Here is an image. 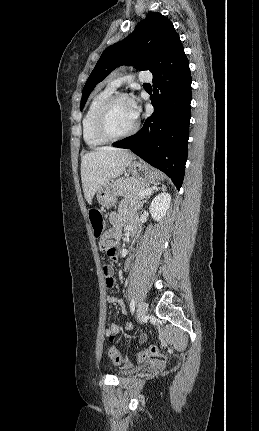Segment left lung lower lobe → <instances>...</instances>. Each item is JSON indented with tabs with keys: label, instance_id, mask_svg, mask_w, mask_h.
<instances>
[{
	"label": "left lung lower lobe",
	"instance_id": "1",
	"mask_svg": "<svg viewBox=\"0 0 259 431\" xmlns=\"http://www.w3.org/2000/svg\"><path fill=\"white\" fill-rule=\"evenodd\" d=\"M153 114L142 129L114 147L130 149L181 188L189 139L191 74L180 39L153 72Z\"/></svg>",
	"mask_w": 259,
	"mask_h": 431
}]
</instances>
